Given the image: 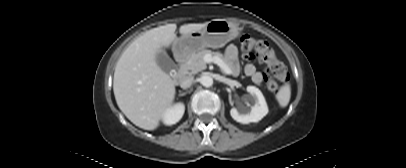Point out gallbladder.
Wrapping results in <instances>:
<instances>
[{"mask_svg": "<svg viewBox=\"0 0 406 168\" xmlns=\"http://www.w3.org/2000/svg\"><path fill=\"white\" fill-rule=\"evenodd\" d=\"M156 61L159 67L166 73H170L175 68V63L164 49L158 53Z\"/></svg>", "mask_w": 406, "mask_h": 168, "instance_id": "obj_1", "label": "gallbladder"}]
</instances>
